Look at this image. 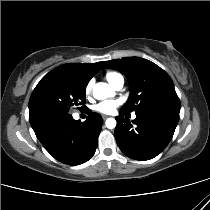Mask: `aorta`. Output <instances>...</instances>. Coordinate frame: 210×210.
Instances as JSON below:
<instances>
[{"mask_svg":"<svg viewBox=\"0 0 210 210\" xmlns=\"http://www.w3.org/2000/svg\"><path fill=\"white\" fill-rule=\"evenodd\" d=\"M113 91L111 87L103 82H99L94 86L93 96L97 100H103L112 95ZM108 129H114L116 127V120L114 118H108L105 122Z\"/></svg>","mask_w":210,"mask_h":210,"instance_id":"762f6f07","label":"aorta"}]
</instances>
